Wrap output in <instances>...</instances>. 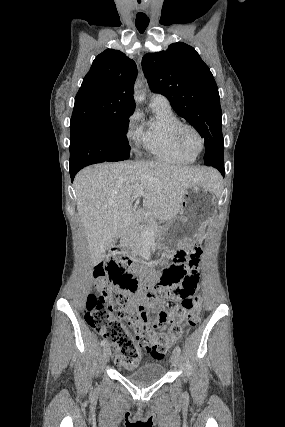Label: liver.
I'll list each match as a JSON object with an SVG mask.
<instances>
[{"instance_id":"liver-1","label":"liver","mask_w":285,"mask_h":427,"mask_svg":"<svg viewBox=\"0 0 285 427\" xmlns=\"http://www.w3.org/2000/svg\"><path fill=\"white\" fill-rule=\"evenodd\" d=\"M218 183L212 168L163 162L102 163L84 168L75 177L74 189L92 264L101 262L109 243L133 223V198L143 196L144 208L165 222L177 216L188 188L202 185L217 192ZM135 185L142 188L143 195Z\"/></svg>"}]
</instances>
